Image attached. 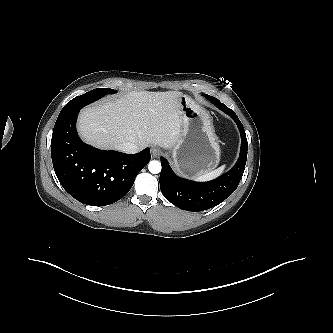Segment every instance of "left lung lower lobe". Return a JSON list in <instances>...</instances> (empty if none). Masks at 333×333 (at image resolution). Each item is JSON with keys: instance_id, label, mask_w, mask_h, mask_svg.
<instances>
[{"instance_id": "0a47b994", "label": "left lung lower lobe", "mask_w": 333, "mask_h": 333, "mask_svg": "<svg viewBox=\"0 0 333 333\" xmlns=\"http://www.w3.org/2000/svg\"><path fill=\"white\" fill-rule=\"evenodd\" d=\"M204 97L236 122L241 134V149L239 159L233 168L208 182H194L178 177L169 166L168 161L161 157L160 188L163 196L175 206L194 212L220 204L235 191L245 169L248 149L246 134L237 115L217 98L206 94Z\"/></svg>"}]
</instances>
